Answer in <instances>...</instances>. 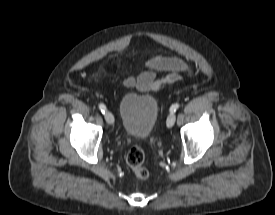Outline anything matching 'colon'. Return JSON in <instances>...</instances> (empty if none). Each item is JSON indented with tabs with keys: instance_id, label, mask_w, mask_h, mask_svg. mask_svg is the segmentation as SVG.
I'll return each mask as SVG.
<instances>
[{
	"instance_id": "colon-1",
	"label": "colon",
	"mask_w": 275,
	"mask_h": 215,
	"mask_svg": "<svg viewBox=\"0 0 275 215\" xmlns=\"http://www.w3.org/2000/svg\"><path fill=\"white\" fill-rule=\"evenodd\" d=\"M126 162L138 179L145 180L149 177V171L144 166V152L138 144H134L129 149Z\"/></svg>"
}]
</instances>
